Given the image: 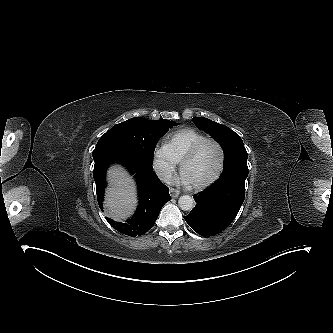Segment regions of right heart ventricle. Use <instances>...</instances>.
Segmentation results:
<instances>
[{
  "label": "right heart ventricle",
  "mask_w": 333,
  "mask_h": 333,
  "mask_svg": "<svg viewBox=\"0 0 333 333\" xmlns=\"http://www.w3.org/2000/svg\"><path fill=\"white\" fill-rule=\"evenodd\" d=\"M205 138L207 136L204 133L195 129H182L168 138L166 146L173 157L180 161L191 147Z\"/></svg>",
  "instance_id": "obj_1"
}]
</instances>
